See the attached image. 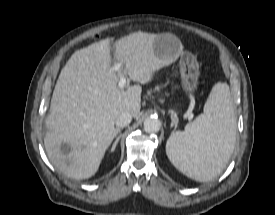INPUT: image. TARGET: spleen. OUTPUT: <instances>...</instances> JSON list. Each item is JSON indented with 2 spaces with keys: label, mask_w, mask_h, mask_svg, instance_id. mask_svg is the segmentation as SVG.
<instances>
[{
  "label": "spleen",
  "mask_w": 275,
  "mask_h": 215,
  "mask_svg": "<svg viewBox=\"0 0 275 215\" xmlns=\"http://www.w3.org/2000/svg\"><path fill=\"white\" fill-rule=\"evenodd\" d=\"M236 120L229 86L216 83L203 114L172 133L166 153L172 164L189 178L206 182L222 172L235 145Z\"/></svg>",
  "instance_id": "1"
}]
</instances>
